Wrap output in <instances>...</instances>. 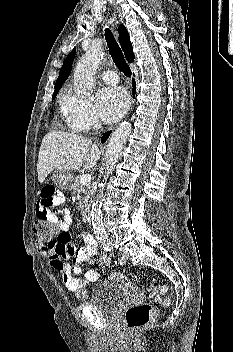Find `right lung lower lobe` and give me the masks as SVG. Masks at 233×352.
<instances>
[{
    "mask_svg": "<svg viewBox=\"0 0 233 352\" xmlns=\"http://www.w3.org/2000/svg\"><path fill=\"white\" fill-rule=\"evenodd\" d=\"M132 84H133V97H134V93H135V81H134V79L132 80ZM110 133H111V131L106 132V133L102 136L101 142L104 143V142L106 141V139L109 137Z\"/></svg>",
    "mask_w": 233,
    "mask_h": 352,
    "instance_id": "98d812e1",
    "label": "right lung lower lobe"
}]
</instances>
